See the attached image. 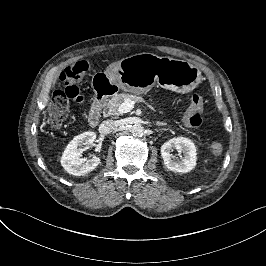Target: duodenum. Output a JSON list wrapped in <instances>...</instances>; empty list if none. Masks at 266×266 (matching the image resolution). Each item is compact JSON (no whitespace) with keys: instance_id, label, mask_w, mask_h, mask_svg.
Segmentation results:
<instances>
[{"instance_id":"1","label":"duodenum","mask_w":266,"mask_h":266,"mask_svg":"<svg viewBox=\"0 0 266 266\" xmlns=\"http://www.w3.org/2000/svg\"><path fill=\"white\" fill-rule=\"evenodd\" d=\"M93 103L88 115V122L91 126H96L101 118L102 106L107 104L113 96V89L110 80L105 75H98L93 80Z\"/></svg>"}]
</instances>
